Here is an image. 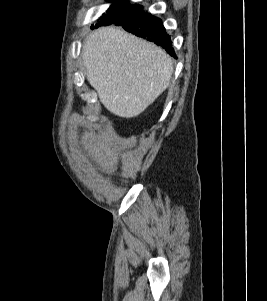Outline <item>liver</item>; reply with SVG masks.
<instances>
[{
    "instance_id": "obj_1",
    "label": "liver",
    "mask_w": 267,
    "mask_h": 301,
    "mask_svg": "<svg viewBox=\"0 0 267 301\" xmlns=\"http://www.w3.org/2000/svg\"><path fill=\"white\" fill-rule=\"evenodd\" d=\"M82 58L101 103L122 118L136 117L152 104L169 86L174 70L163 49L116 27L90 34Z\"/></svg>"
}]
</instances>
